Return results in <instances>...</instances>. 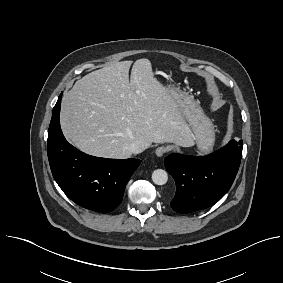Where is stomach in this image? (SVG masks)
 <instances>
[{"label": "stomach", "instance_id": "0dacf381", "mask_svg": "<svg viewBox=\"0 0 283 283\" xmlns=\"http://www.w3.org/2000/svg\"><path fill=\"white\" fill-rule=\"evenodd\" d=\"M169 91L192 130L199 152L207 154L212 151L215 142V126L205 115L199 102L195 101L193 96L178 89L170 88Z\"/></svg>", "mask_w": 283, "mask_h": 283}]
</instances>
